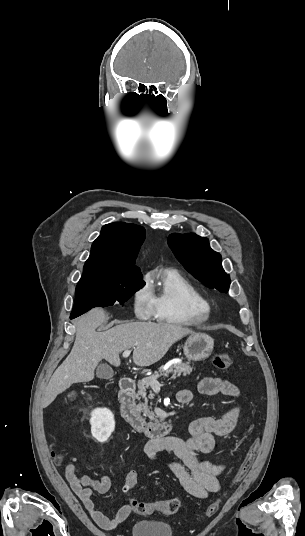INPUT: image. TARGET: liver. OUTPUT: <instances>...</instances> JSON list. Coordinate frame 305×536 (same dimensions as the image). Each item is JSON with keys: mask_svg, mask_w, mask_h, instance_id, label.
I'll return each instance as SVG.
<instances>
[{"mask_svg": "<svg viewBox=\"0 0 305 536\" xmlns=\"http://www.w3.org/2000/svg\"><path fill=\"white\" fill-rule=\"evenodd\" d=\"M108 318L102 308H94L77 320L74 346L65 362L54 372L42 398L43 408L54 402L58 394L78 382H91L96 366L106 360L112 366H120V352L134 348L133 362L136 366H151L161 360L172 344L194 334L189 328L176 324H153V322H118L106 332H96Z\"/></svg>", "mask_w": 305, "mask_h": 536, "instance_id": "6515ba94", "label": "liver"}]
</instances>
